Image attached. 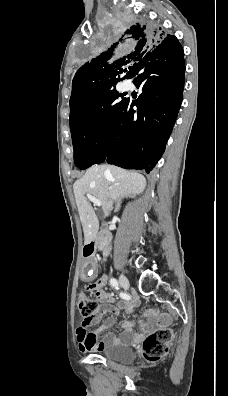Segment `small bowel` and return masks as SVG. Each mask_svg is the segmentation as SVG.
<instances>
[{
	"instance_id": "1",
	"label": "small bowel",
	"mask_w": 228,
	"mask_h": 396,
	"mask_svg": "<svg viewBox=\"0 0 228 396\" xmlns=\"http://www.w3.org/2000/svg\"><path fill=\"white\" fill-rule=\"evenodd\" d=\"M83 273L86 277L94 276V265L90 262H87L83 266ZM108 282V277L106 275L101 276L97 281L87 286V290L93 292L97 301L101 303V307L98 309L97 313L94 315L91 323H97L101 320L102 316L107 312L118 313L120 309H124L130 311L136 305L135 301L131 300H122L117 301L115 296L111 293L105 291L104 287ZM115 322L114 317L107 318L104 323L97 329L87 331L85 327L81 325L77 329V341L79 345V350L82 352L86 351H100L105 347L118 344L121 342H128L133 339L132 330L133 324L130 322H124L122 327L124 332L121 334L119 338H116L113 335H107L101 340L98 339V334L113 325ZM144 328H149V324L144 322Z\"/></svg>"
}]
</instances>
